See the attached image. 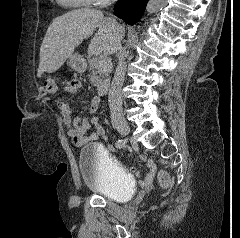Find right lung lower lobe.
<instances>
[{
	"label": "right lung lower lobe",
	"mask_w": 240,
	"mask_h": 238,
	"mask_svg": "<svg viewBox=\"0 0 240 238\" xmlns=\"http://www.w3.org/2000/svg\"><path fill=\"white\" fill-rule=\"evenodd\" d=\"M148 0H118L114 14L128 24H135L142 17Z\"/></svg>",
	"instance_id": "right-lung-lower-lobe-1"
}]
</instances>
